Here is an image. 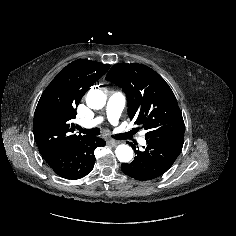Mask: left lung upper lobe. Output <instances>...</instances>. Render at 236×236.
Wrapping results in <instances>:
<instances>
[{
    "instance_id": "1",
    "label": "left lung upper lobe",
    "mask_w": 236,
    "mask_h": 236,
    "mask_svg": "<svg viewBox=\"0 0 236 236\" xmlns=\"http://www.w3.org/2000/svg\"><path fill=\"white\" fill-rule=\"evenodd\" d=\"M123 89L128 115L143 125L145 139L184 133L185 126L173 91L154 70L142 64L114 65L106 76Z\"/></svg>"
}]
</instances>
